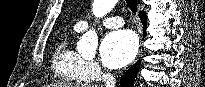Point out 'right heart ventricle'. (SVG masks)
<instances>
[{"mask_svg":"<svg viewBox=\"0 0 205 87\" xmlns=\"http://www.w3.org/2000/svg\"><path fill=\"white\" fill-rule=\"evenodd\" d=\"M76 32H79L75 28ZM83 57L71 46V36L67 35L57 44L52 57V70L63 81L84 82L87 77L82 72Z\"/></svg>","mask_w":205,"mask_h":87,"instance_id":"e07e8e85","label":"right heart ventricle"}]
</instances>
